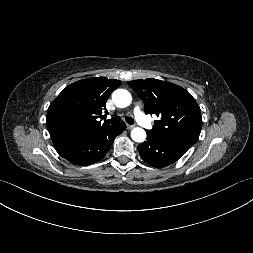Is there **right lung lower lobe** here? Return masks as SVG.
Returning <instances> with one entry per match:
<instances>
[{
	"instance_id": "1",
	"label": "right lung lower lobe",
	"mask_w": 253,
	"mask_h": 253,
	"mask_svg": "<svg viewBox=\"0 0 253 253\" xmlns=\"http://www.w3.org/2000/svg\"><path fill=\"white\" fill-rule=\"evenodd\" d=\"M126 129V124L120 122L109 128L99 130L55 147L60 156L76 165H91L104 158L116 136Z\"/></svg>"
}]
</instances>
